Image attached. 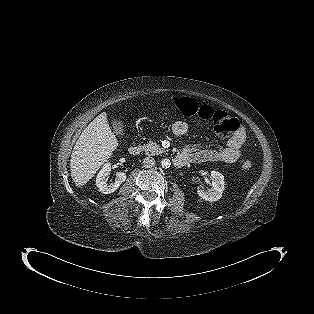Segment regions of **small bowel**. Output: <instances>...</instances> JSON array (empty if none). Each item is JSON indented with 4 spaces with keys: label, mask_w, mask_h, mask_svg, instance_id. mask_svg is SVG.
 <instances>
[{
    "label": "small bowel",
    "mask_w": 314,
    "mask_h": 314,
    "mask_svg": "<svg viewBox=\"0 0 314 314\" xmlns=\"http://www.w3.org/2000/svg\"><path fill=\"white\" fill-rule=\"evenodd\" d=\"M188 125L184 121H176L171 126L175 136H183L187 133ZM246 141V134L243 129L235 132L226 143V146L219 149L186 147L179 155L186 157L187 162H219L234 163L241 154Z\"/></svg>",
    "instance_id": "c3829d8e"
}]
</instances>
